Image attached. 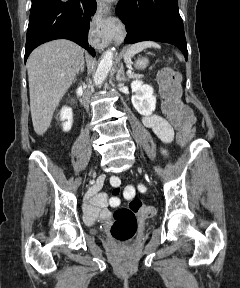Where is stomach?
Instances as JSON below:
<instances>
[{"label": "stomach", "mask_w": 240, "mask_h": 288, "mask_svg": "<svg viewBox=\"0 0 240 288\" xmlns=\"http://www.w3.org/2000/svg\"><path fill=\"white\" fill-rule=\"evenodd\" d=\"M148 63L147 59H141L136 62V67L138 68H145Z\"/></svg>", "instance_id": "obj_1"}]
</instances>
